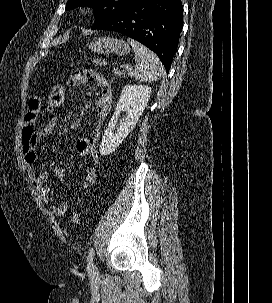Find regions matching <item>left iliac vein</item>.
Returning a JSON list of instances; mask_svg holds the SVG:
<instances>
[{"label":"left iliac vein","mask_w":272,"mask_h":303,"mask_svg":"<svg viewBox=\"0 0 272 303\" xmlns=\"http://www.w3.org/2000/svg\"><path fill=\"white\" fill-rule=\"evenodd\" d=\"M92 273H93V274H96V273H97V269H96V267H94V266H93V269H92Z\"/></svg>","instance_id":"4c4485c4"}]
</instances>
